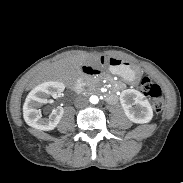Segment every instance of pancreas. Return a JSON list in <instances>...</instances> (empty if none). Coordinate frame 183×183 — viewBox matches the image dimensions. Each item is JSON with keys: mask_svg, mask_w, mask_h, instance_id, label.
Masks as SVG:
<instances>
[{"mask_svg": "<svg viewBox=\"0 0 183 183\" xmlns=\"http://www.w3.org/2000/svg\"><path fill=\"white\" fill-rule=\"evenodd\" d=\"M96 83H97V80L94 79V80H92L91 82H89L88 84H89V85H94V84H96Z\"/></svg>", "mask_w": 183, "mask_h": 183, "instance_id": "pancreas-1", "label": "pancreas"}]
</instances>
